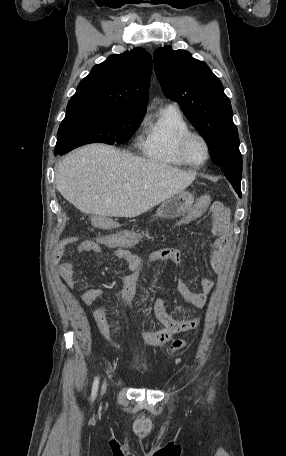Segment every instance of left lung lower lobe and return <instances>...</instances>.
<instances>
[{
	"label": "left lung lower lobe",
	"instance_id": "obj_1",
	"mask_svg": "<svg viewBox=\"0 0 286 456\" xmlns=\"http://www.w3.org/2000/svg\"><path fill=\"white\" fill-rule=\"evenodd\" d=\"M228 180L231 182L233 188L235 189L239 197H241L240 180H235L231 178H228Z\"/></svg>",
	"mask_w": 286,
	"mask_h": 456
}]
</instances>
